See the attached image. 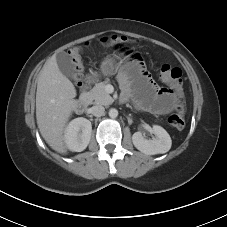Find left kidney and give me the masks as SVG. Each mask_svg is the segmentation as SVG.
<instances>
[{
  "label": "left kidney",
  "mask_w": 227,
  "mask_h": 227,
  "mask_svg": "<svg viewBox=\"0 0 227 227\" xmlns=\"http://www.w3.org/2000/svg\"><path fill=\"white\" fill-rule=\"evenodd\" d=\"M156 138L146 139L141 132H135L132 136L134 146L144 154L155 155L166 153L170 150L172 141L167 131L158 125L153 126Z\"/></svg>",
  "instance_id": "left-kidney-1"
}]
</instances>
